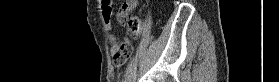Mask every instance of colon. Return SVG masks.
Segmentation results:
<instances>
[{
  "label": "colon",
  "instance_id": "obj_1",
  "mask_svg": "<svg viewBox=\"0 0 279 82\" xmlns=\"http://www.w3.org/2000/svg\"><path fill=\"white\" fill-rule=\"evenodd\" d=\"M135 1H127L120 8L117 13L118 22L125 26L127 30L131 33L133 37L137 36L140 33L141 25L139 19L131 14V6ZM125 53V58H129L132 54V47L128 45L123 49Z\"/></svg>",
  "mask_w": 279,
  "mask_h": 82
}]
</instances>
